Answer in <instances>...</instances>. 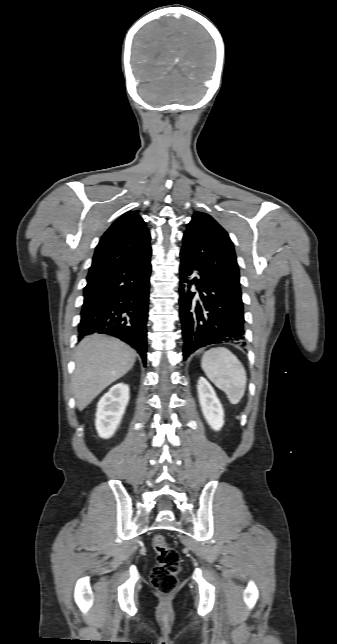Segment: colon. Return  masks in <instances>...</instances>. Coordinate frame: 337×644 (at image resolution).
Wrapping results in <instances>:
<instances>
[{"label":"colon","instance_id":"obj_1","mask_svg":"<svg viewBox=\"0 0 337 644\" xmlns=\"http://www.w3.org/2000/svg\"><path fill=\"white\" fill-rule=\"evenodd\" d=\"M153 548L157 555V564L151 571V582L161 594L169 595L178 586L180 555L176 549L167 544L165 537L161 534H156L153 537Z\"/></svg>","mask_w":337,"mask_h":644}]
</instances>
